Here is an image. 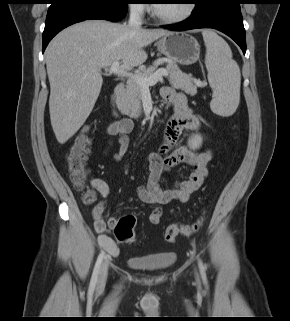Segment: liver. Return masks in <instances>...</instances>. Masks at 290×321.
<instances>
[{"label":"liver","mask_w":290,"mask_h":321,"mask_svg":"<svg viewBox=\"0 0 290 321\" xmlns=\"http://www.w3.org/2000/svg\"><path fill=\"white\" fill-rule=\"evenodd\" d=\"M169 33L104 20H86L58 33L45 51L57 141L67 142L90 115L101 91L102 68L115 61L125 67L142 65L148 58L144 48Z\"/></svg>","instance_id":"liver-1"}]
</instances>
